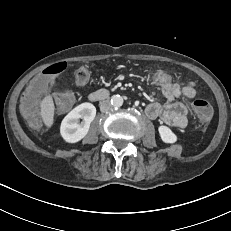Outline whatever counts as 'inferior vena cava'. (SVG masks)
Returning a JSON list of instances; mask_svg holds the SVG:
<instances>
[{"label": "inferior vena cava", "mask_w": 231, "mask_h": 231, "mask_svg": "<svg viewBox=\"0 0 231 231\" xmlns=\"http://www.w3.org/2000/svg\"><path fill=\"white\" fill-rule=\"evenodd\" d=\"M112 104L109 100H104L100 102V111L101 112H107L111 109Z\"/></svg>", "instance_id": "1"}]
</instances>
